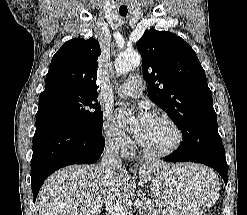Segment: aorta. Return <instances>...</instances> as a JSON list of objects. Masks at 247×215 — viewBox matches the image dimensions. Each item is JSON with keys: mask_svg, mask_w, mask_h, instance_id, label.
I'll return each mask as SVG.
<instances>
[{"mask_svg": "<svg viewBox=\"0 0 247 215\" xmlns=\"http://www.w3.org/2000/svg\"><path fill=\"white\" fill-rule=\"evenodd\" d=\"M141 62V56L137 52L120 53L115 60V69L118 74H124L130 69L138 66Z\"/></svg>", "mask_w": 247, "mask_h": 215, "instance_id": "762f6f07", "label": "aorta"}]
</instances>
